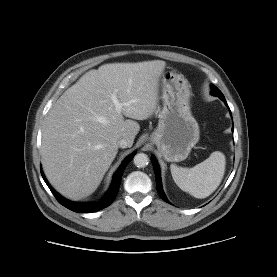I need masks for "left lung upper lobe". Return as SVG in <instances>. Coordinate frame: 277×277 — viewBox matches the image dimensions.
<instances>
[{"label":"left lung upper lobe","instance_id":"5c2ea615","mask_svg":"<svg viewBox=\"0 0 277 277\" xmlns=\"http://www.w3.org/2000/svg\"><path fill=\"white\" fill-rule=\"evenodd\" d=\"M211 89H212L211 93L213 95L219 97L222 101L225 100L224 95L222 94V92L215 85L211 84Z\"/></svg>","mask_w":277,"mask_h":277}]
</instances>
